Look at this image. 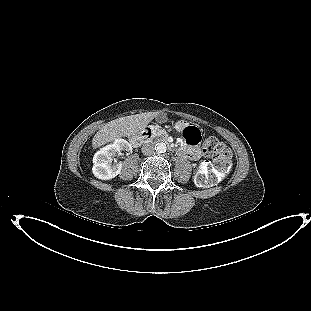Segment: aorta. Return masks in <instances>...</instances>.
<instances>
[{
	"mask_svg": "<svg viewBox=\"0 0 311 311\" xmlns=\"http://www.w3.org/2000/svg\"><path fill=\"white\" fill-rule=\"evenodd\" d=\"M166 144L163 142H159L155 145V150L157 153H165L166 152Z\"/></svg>",
	"mask_w": 311,
	"mask_h": 311,
	"instance_id": "762f6f07",
	"label": "aorta"
}]
</instances>
